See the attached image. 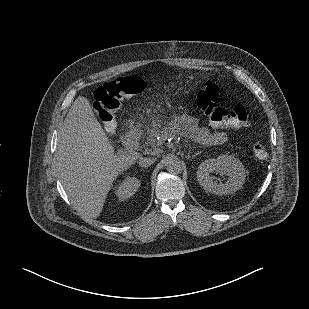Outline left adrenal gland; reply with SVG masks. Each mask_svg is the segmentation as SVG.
Wrapping results in <instances>:
<instances>
[{"instance_id": "left-adrenal-gland-1", "label": "left adrenal gland", "mask_w": 309, "mask_h": 309, "mask_svg": "<svg viewBox=\"0 0 309 309\" xmlns=\"http://www.w3.org/2000/svg\"><path fill=\"white\" fill-rule=\"evenodd\" d=\"M189 154H190V152H189ZM198 154H199V153H195V154L192 155V156L189 155L188 158H190V159L192 160V159H194V157H196Z\"/></svg>"}]
</instances>
